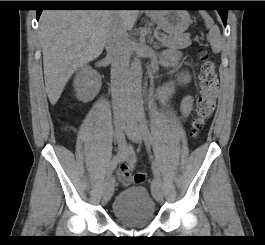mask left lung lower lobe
<instances>
[{"label": "left lung lower lobe", "instance_id": "obj_1", "mask_svg": "<svg viewBox=\"0 0 265 245\" xmlns=\"http://www.w3.org/2000/svg\"><path fill=\"white\" fill-rule=\"evenodd\" d=\"M154 4L162 5V6H177L182 4V1H155ZM220 14V17L223 21V24L226 25L227 21V9L217 10Z\"/></svg>", "mask_w": 265, "mask_h": 245}]
</instances>
